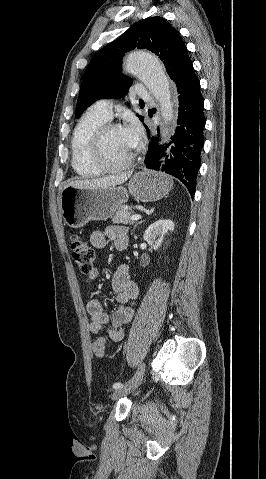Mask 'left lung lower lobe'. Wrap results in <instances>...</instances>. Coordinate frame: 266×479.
Segmentation results:
<instances>
[{"label":"left lung lower lobe","mask_w":266,"mask_h":479,"mask_svg":"<svg viewBox=\"0 0 266 479\" xmlns=\"http://www.w3.org/2000/svg\"><path fill=\"white\" fill-rule=\"evenodd\" d=\"M179 94L178 127L171 141L160 146L152 137L145 157L146 167L178 178L189 190L192 198L200 168L201 148L204 145L205 117L200 82L189 61L174 80ZM148 134L149 129L145 126Z\"/></svg>","instance_id":"0a47b994"}]
</instances>
